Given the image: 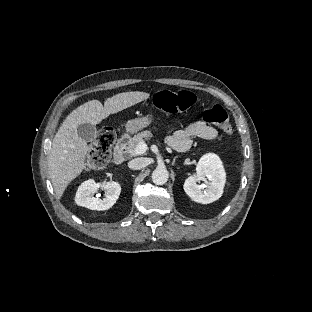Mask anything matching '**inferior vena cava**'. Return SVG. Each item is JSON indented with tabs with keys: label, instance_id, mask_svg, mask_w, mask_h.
I'll use <instances>...</instances> for the list:
<instances>
[{
	"label": "inferior vena cava",
	"instance_id": "obj_1",
	"mask_svg": "<svg viewBox=\"0 0 312 312\" xmlns=\"http://www.w3.org/2000/svg\"><path fill=\"white\" fill-rule=\"evenodd\" d=\"M146 165H147V160H146V158H143V157L135 158V159L128 162V167L132 170L142 169Z\"/></svg>",
	"mask_w": 312,
	"mask_h": 312
}]
</instances>
